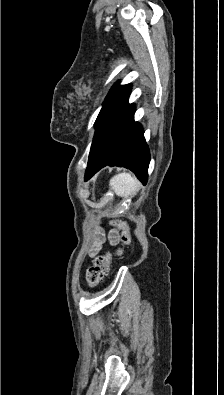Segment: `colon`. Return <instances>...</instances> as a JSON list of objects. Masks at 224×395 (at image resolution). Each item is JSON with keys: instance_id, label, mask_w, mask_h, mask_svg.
I'll return each instance as SVG.
<instances>
[{"instance_id": "5ec220e1", "label": "colon", "mask_w": 224, "mask_h": 395, "mask_svg": "<svg viewBox=\"0 0 224 395\" xmlns=\"http://www.w3.org/2000/svg\"><path fill=\"white\" fill-rule=\"evenodd\" d=\"M130 239H131L130 232L128 228L125 227L124 233L122 234L121 237L120 245L112 251H107L98 254L95 257L93 264L90 267H88L86 271V279L88 286L90 288L96 287L99 284V282L103 279L111 262L114 259L119 258L123 255L124 248L129 244Z\"/></svg>"}]
</instances>
